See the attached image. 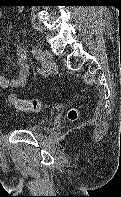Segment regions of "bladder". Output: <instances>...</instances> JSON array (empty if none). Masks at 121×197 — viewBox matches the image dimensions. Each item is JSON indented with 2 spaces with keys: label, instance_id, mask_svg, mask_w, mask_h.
<instances>
[{
  "label": "bladder",
  "instance_id": "1",
  "mask_svg": "<svg viewBox=\"0 0 121 197\" xmlns=\"http://www.w3.org/2000/svg\"><path fill=\"white\" fill-rule=\"evenodd\" d=\"M36 128H37V125H31V126L28 127L29 130H34Z\"/></svg>",
  "mask_w": 121,
  "mask_h": 197
}]
</instances>
